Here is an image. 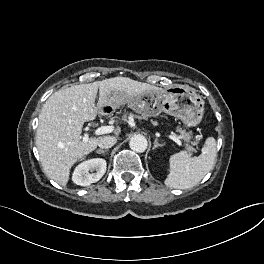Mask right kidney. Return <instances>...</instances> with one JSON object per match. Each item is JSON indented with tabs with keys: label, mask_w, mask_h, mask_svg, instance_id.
<instances>
[{
	"label": "right kidney",
	"mask_w": 264,
	"mask_h": 264,
	"mask_svg": "<svg viewBox=\"0 0 264 264\" xmlns=\"http://www.w3.org/2000/svg\"><path fill=\"white\" fill-rule=\"evenodd\" d=\"M106 166V161L102 158L84 161L75 168L72 180L77 185L89 186L102 178L106 172Z\"/></svg>",
	"instance_id": "ca27d5eb"
}]
</instances>
